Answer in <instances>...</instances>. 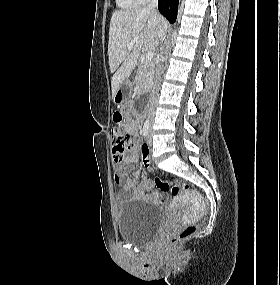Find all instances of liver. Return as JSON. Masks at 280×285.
Instances as JSON below:
<instances>
[{
    "instance_id": "obj_1",
    "label": "liver",
    "mask_w": 280,
    "mask_h": 285,
    "mask_svg": "<svg viewBox=\"0 0 280 285\" xmlns=\"http://www.w3.org/2000/svg\"><path fill=\"white\" fill-rule=\"evenodd\" d=\"M169 24L157 11L133 8L115 11L109 29L108 56L113 74L112 97L137 65L141 51H153L168 30ZM135 37L139 41L127 49Z\"/></svg>"
}]
</instances>
